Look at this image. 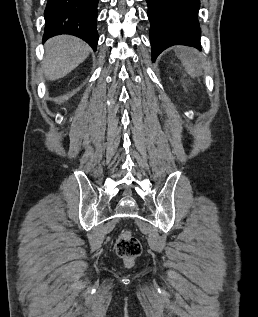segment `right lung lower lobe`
I'll return each instance as SVG.
<instances>
[{
  "label": "right lung lower lobe",
  "mask_w": 258,
  "mask_h": 317,
  "mask_svg": "<svg viewBox=\"0 0 258 317\" xmlns=\"http://www.w3.org/2000/svg\"><path fill=\"white\" fill-rule=\"evenodd\" d=\"M99 0H48L44 12L45 31L48 38L70 34L86 41L94 51L98 43L96 30Z\"/></svg>",
  "instance_id": "98d812e1"
}]
</instances>
